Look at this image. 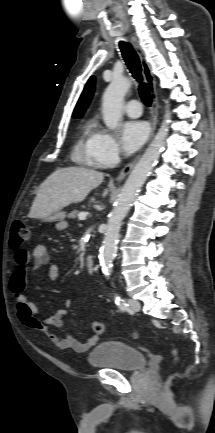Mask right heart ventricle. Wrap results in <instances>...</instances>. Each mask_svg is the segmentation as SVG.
Listing matches in <instances>:
<instances>
[{
  "mask_svg": "<svg viewBox=\"0 0 215 433\" xmlns=\"http://www.w3.org/2000/svg\"><path fill=\"white\" fill-rule=\"evenodd\" d=\"M97 133L93 123L85 126L74 148L73 157L76 161L92 167L101 166L95 155Z\"/></svg>",
  "mask_w": 215,
  "mask_h": 433,
  "instance_id": "e07e8e85",
  "label": "right heart ventricle"
}]
</instances>
